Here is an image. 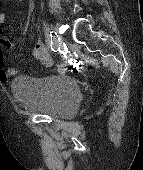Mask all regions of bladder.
Segmentation results:
<instances>
[{"mask_svg": "<svg viewBox=\"0 0 143 170\" xmlns=\"http://www.w3.org/2000/svg\"><path fill=\"white\" fill-rule=\"evenodd\" d=\"M11 89L22 108L53 118H71L81 104L79 85L65 74L18 76L12 81Z\"/></svg>", "mask_w": 143, "mask_h": 170, "instance_id": "1", "label": "bladder"}]
</instances>
